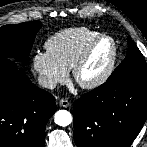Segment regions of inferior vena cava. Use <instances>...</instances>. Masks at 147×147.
Returning <instances> with one entry per match:
<instances>
[{
	"instance_id": "602c4592",
	"label": "inferior vena cava",
	"mask_w": 147,
	"mask_h": 147,
	"mask_svg": "<svg viewBox=\"0 0 147 147\" xmlns=\"http://www.w3.org/2000/svg\"><path fill=\"white\" fill-rule=\"evenodd\" d=\"M38 83L40 86L48 89H54L56 87V82L46 76H39Z\"/></svg>"
}]
</instances>
